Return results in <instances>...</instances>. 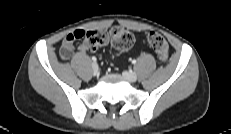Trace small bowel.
Wrapping results in <instances>:
<instances>
[{
  "mask_svg": "<svg viewBox=\"0 0 231 134\" xmlns=\"http://www.w3.org/2000/svg\"><path fill=\"white\" fill-rule=\"evenodd\" d=\"M74 32L69 33L62 42L61 49H60V56L62 59L67 60L69 59L73 52H74ZM79 51L82 53L90 52V49L85 45H81L79 47Z\"/></svg>",
  "mask_w": 231,
  "mask_h": 134,
  "instance_id": "c3829d8e",
  "label": "small bowel"
}]
</instances>
